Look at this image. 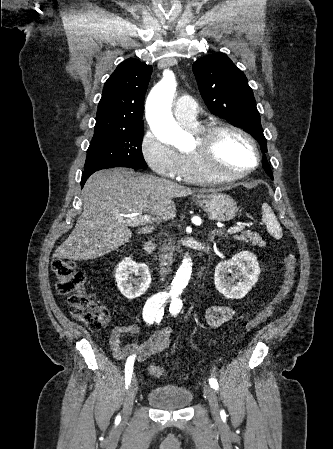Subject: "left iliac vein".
I'll return each mask as SVG.
<instances>
[{
  "label": "left iliac vein",
  "instance_id": "4c4485c4",
  "mask_svg": "<svg viewBox=\"0 0 333 449\" xmlns=\"http://www.w3.org/2000/svg\"><path fill=\"white\" fill-rule=\"evenodd\" d=\"M204 392L207 396L211 414H212L214 420L219 421L220 420V408H219L216 393L214 392L212 387H210L209 385L204 386Z\"/></svg>",
  "mask_w": 333,
  "mask_h": 449
}]
</instances>
